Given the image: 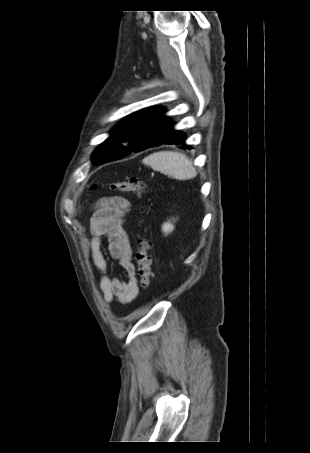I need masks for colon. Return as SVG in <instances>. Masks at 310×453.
<instances>
[{
    "instance_id": "colon-1",
    "label": "colon",
    "mask_w": 310,
    "mask_h": 453,
    "mask_svg": "<svg viewBox=\"0 0 310 453\" xmlns=\"http://www.w3.org/2000/svg\"><path fill=\"white\" fill-rule=\"evenodd\" d=\"M108 187L112 191L141 193L145 189V182L138 178H130L123 181L112 182L108 185ZM149 250L150 242L145 238L140 239L139 248L136 253V262L140 285L143 288L150 285L152 278V261L149 255Z\"/></svg>"
}]
</instances>
